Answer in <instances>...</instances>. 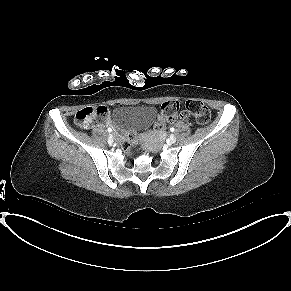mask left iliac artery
Wrapping results in <instances>:
<instances>
[{"instance_id": "obj_1", "label": "left iliac artery", "mask_w": 291, "mask_h": 291, "mask_svg": "<svg viewBox=\"0 0 291 291\" xmlns=\"http://www.w3.org/2000/svg\"><path fill=\"white\" fill-rule=\"evenodd\" d=\"M170 131H171V132H174V131H175V128H174V127H171V128H170Z\"/></svg>"}]
</instances>
